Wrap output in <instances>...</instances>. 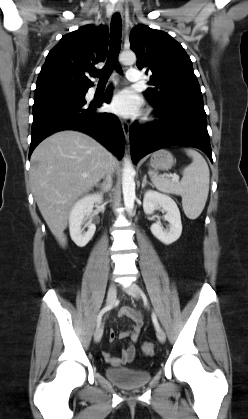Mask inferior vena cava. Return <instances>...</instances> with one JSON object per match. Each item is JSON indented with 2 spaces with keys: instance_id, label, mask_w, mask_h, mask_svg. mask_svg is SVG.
<instances>
[{
  "instance_id": "inferior-vena-cava-1",
  "label": "inferior vena cava",
  "mask_w": 248,
  "mask_h": 419,
  "mask_svg": "<svg viewBox=\"0 0 248 419\" xmlns=\"http://www.w3.org/2000/svg\"><path fill=\"white\" fill-rule=\"evenodd\" d=\"M113 171H114V166H113V164H112V163H110V164L107 166L106 170H105V174H106V183L108 184V181H109V180L111 181L110 188H111V186H112V178H111V175H112Z\"/></svg>"
}]
</instances>
